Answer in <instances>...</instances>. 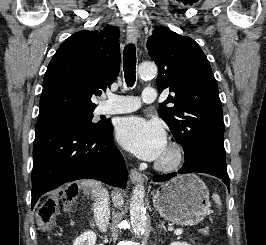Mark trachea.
<instances>
[{
	"label": "trachea",
	"instance_id": "3493384b",
	"mask_svg": "<svg viewBox=\"0 0 266 245\" xmlns=\"http://www.w3.org/2000/svg\"><path fill=\"white\" fill-rule=\"evenodd\" d=\"M124 60V76L128 87H132L135 83L136 69V48L135 45H126L123 53Z\"/></svg>",
	"mask_w": 266,
	"mask_h": 245
}]
</instances>
